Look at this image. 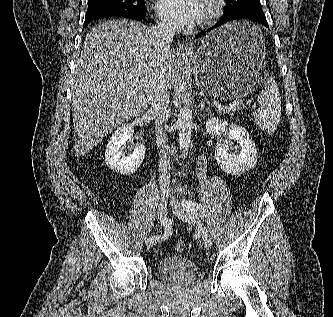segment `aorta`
<instances>
[{"label":"aorta","instance_id":"762f6f07","mask_svg":"<svg viewBox=\"0 0 333 317\" xmlns=\"http://www.w3.org/2000/svg\"><path fill=\"white\" fill-rule=\"evenodd\" d=\"M179 130V146L181 153L185 156L188 153L191 143V133L193 127L192 111L190 108L180 109L177 119Z\"/></svg>","mask_w":333,"mask_h":317}]
</instances>
